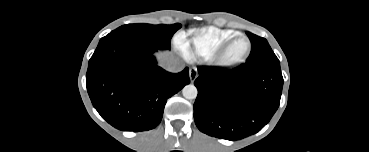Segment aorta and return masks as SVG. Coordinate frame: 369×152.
I'll list each match as a JSON object with an SVG mask.
<instances>
[{
	"label": "aorta",
	"mask_w": 369,
	"mask_h": 152,
	"mask_svg": "<svg viewBox=\"0 0 369 152\" xmlns=\"http://www.w3.org/2000/svg\"><path fill=\"white\" fill-rule=\"evenodd\" d=\"M182 94L186 99L192 100L197 97L198 91L194 85L189 84L182 89Z\"/></svg>",
	"instance_id": "aorta-1"
}]
</instances>
